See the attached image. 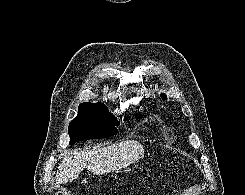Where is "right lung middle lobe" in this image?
I'll list each match as a JSON object with an SVG mask.
<instances>
[{"instance_id":"dd1d6c3e","label":"right lung middle lobe","mask_w":245,"mask_h":195,"mask_svg":"<svg viewBox=\"0 0 245 195\" xmlns=\"http://www.w3.org/2000/svg\"><path fill=\"white\" fill-rule=\"evenodd\" d=\"M119 124L103 103H82L79 105L78 115L69 124L70 145L81 140L113 136L117 133L116 126Z\"/></svg>"}]
</instances>
